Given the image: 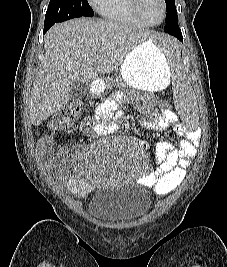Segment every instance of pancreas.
<instances>
[{
  "label": "pancreas",
  "instance_id": "cf45deb5",
  "mask_svg": "<svg viewBox=\"0 0 227 267\" xmlns=\"http://www.w3.org/2000/svg\"><path fill=\"white\" fill-rule=\"evenodd\" d=\"M120 80L119 79H114V82H119ZM112 82H113V80H112Z\"/></svg>",
  "mask_w": 227,
  "mask_h": 267
}]
</instances>
